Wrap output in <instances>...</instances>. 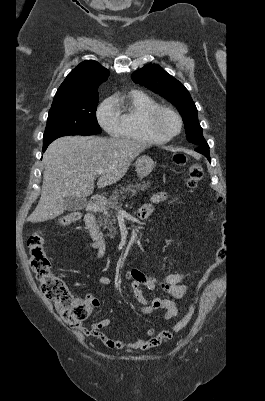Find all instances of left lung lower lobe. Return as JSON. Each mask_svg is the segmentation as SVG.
<instances>
[{
    "instance_id": "1",
    "label": "left lung lower lobe",
    "mask_w": 265,
    "mask_h": 401,
    "mask_svg": "<svg viewBox=\"0 0 265 401\" xmlns=\"http://www.w3.org/2000/svg\"><path fill=\"white\" fill-rule=\"evenodd\" d=\"M197 152L203 154L205 157H207L210 160L209 157V146L206 142L202 143L198 148L195 149Z\"/></svg>"
}]
</instances>
